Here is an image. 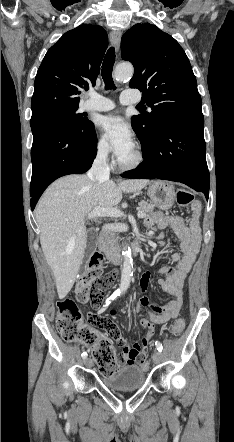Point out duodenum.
<instances>
[{
  "instance_id": "duodenum-1",
  "label": "duodenum",
  "mask_w": 234,
  "mask_h": 442,
  "mask_svg": "<svg viewBox=\"0 0 234 442\" xmlns=\"http://www.w3.org/2000/svg\"><path fill=\"white\" fill-rule=\"evenodd\" d=\"M100 249L107 258L115 265H118L122 261V255L119 252L112 250L108 245V240L105 236L100 239ZM132 253L134 255H139L141 253V245L139 243H134L131 246Z\"/></svg>"
}]
</instances>
